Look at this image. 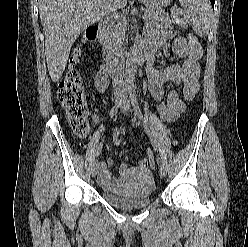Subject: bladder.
<instances>
[{
    "mask_svg": "<svg viewBox=\"0 0 248 247\" xmlns=\"http://www.w3.org/2000/svg\"><path fill=\"white\" fill-rule=\"evenodd\" d=\"M119 180L116 192L103 191L105 201L120 208L141 207L151 202L156 184L150 170L131 168Z\"/></svg>",
    "mask_w": 248,
    "mask_h": 247,
    "instance_id": "obj_1",
    "label": "bladder"
}]
</instances>
